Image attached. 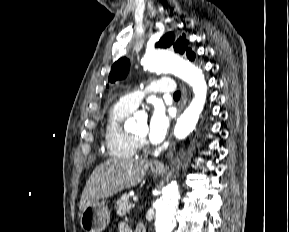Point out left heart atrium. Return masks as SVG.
<instances>
[{"mask_svg": "<svg viewBox=\"0 0 289 232\" xmlns=\"http://www.w3.org/2000/svg\"><path fill=\"white\" fill-rule=\"evenodd\" d=\"M169 125L170 118L164 107L160 104H155L147 125L149 140L154 144L161 143L167 135Z\"/></svg>", "mask_w": 289, "mask_h": 232, "instance_id": "left-heart-atrium-1", "label": "left heart atrium"}]
</instances>
